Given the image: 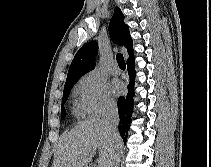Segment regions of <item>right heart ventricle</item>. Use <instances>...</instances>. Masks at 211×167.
I'll return each mask as SVG.
<instances>
[{
  "label": "right heart ventricle",
  "mask_w": 211,
  "mask_h": 167,
  "mask_svg": "<svg viewBox=\"0 0 211 167\" xmlns=\"http://www.w3.org/2000/svg\"><path fill=\"white\" fill-rule=\"evenodd\" d=\"M77 113L80 114V115L83 114V113L79 110L78 107H77Z\"/></svg>",
  "instance_id": "right-heart-ventricle-1"
}]
</instances>
